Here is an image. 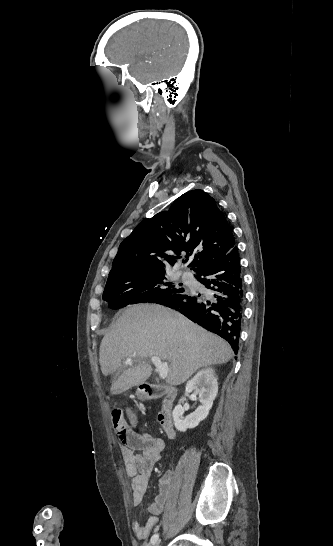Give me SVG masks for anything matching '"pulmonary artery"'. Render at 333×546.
Here are the masks:
<instances>
[{"label": "pulmonary artery", "mask_w": 333, "mask_h": 546, "mask_svg": "<svg viewBox=\"0 0 333 546\" xmlns=\"http://www.w3.org/2000/svg\"><path fill=\"white\" fill-rule=\"evenodd\" d=\"M181 276H182V278H183L184 280H190V279H192L191 274H190L189 272H186V271L182 272Z\"/></svg>", "instance_id": "obj_1"}]
</instances>
